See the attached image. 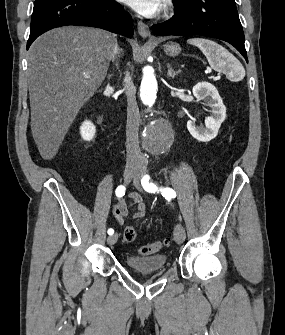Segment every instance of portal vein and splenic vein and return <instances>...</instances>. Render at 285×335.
<instances>
[{"label":"portal vein and splenic vein","mask_w":285,"mask_h":335,"mask_svg":"<svg viewBox=\"0 0 285 335\" xmlns=\"http://www.w3.org/2000/svg\"><path fill=\"white\" fill-rule=\"evenodd\" d=\"M84 78H90V74H83Z\"/></svg>","instance_id":"1"}]
</instances>
